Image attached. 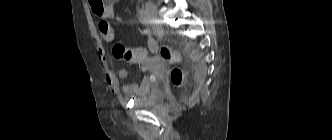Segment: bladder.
Masks as SVG:
<instances>
[{
	"instance_id": "1",
	"label": "bladder",
	"mask_w": 332,
	"mask_h": 140,
	"mask_svg": "<svg viewBox=\"0 0 332 140\" xmlns=\"http://www.w3.org/2000/svg\"><path fill=\"white\" fill-rule=\"evenodd\" d=\"M164 97V93L158 89L154 88L151 92L146 94L145 96L136 100V103L140 106H153L154 104L160 102Z\"/></svg>"
}]
</instances>
